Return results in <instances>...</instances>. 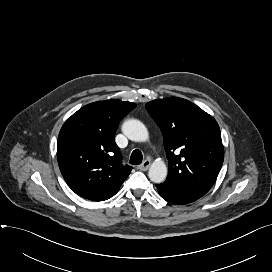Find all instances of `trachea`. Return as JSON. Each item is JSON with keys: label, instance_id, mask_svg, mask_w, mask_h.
<instances>
[{"label": "trachea", "instance_id": "1", "mask_svg": "<svg viewBox=\"0 0 272 272\" xmlns=\"http://www.w3.org/2000/svg\"><path fill=\"white\" fill-rule=\"evenodd\" d=\"M143 155L140 150L135 149L130 156V164L139 165L142 163Z\"/></svg>", "mask_w": 272, "mask_h": 272}]
</instances>
